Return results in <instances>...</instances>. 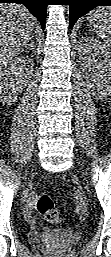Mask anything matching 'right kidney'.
<instances>
[{
	"label": "right kidney",
	"mask_w": 111,
	"mask_h": 257,
	"mask_svg": "<svg viewBox=\"0 0 111 257\" xmlns=\"http://www.w3.org/2000/svg\"><path fill=\"white\" fill-rule=\"evenodd\" d=\"M33 61L28 56L16 57L1 70V99L10 103L26 87L33 74Z\"/></svg>",
	"instance_id": "right-kidney-1"
}]
</instances>
